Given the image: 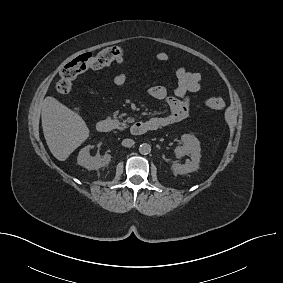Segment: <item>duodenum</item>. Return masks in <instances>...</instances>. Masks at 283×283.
Instances as JSON below:
<instances>
[{
  "instance_id": "obj_1",
  "label": "duodenum",
  "mask_w": 283,
  "mask_h": 283,
  "mask_svg": "<svg viewBox=\"0 0 283 283\" xmlns=\"http://www.w3.org/2000/svg\"><path fill=\"white\" fill-rule=\"evenodd\" d=\"M159 128V122L153 118L138 121L131 126L133 135H143ZM96 129L100 133H109L113 130V122L108 119H102L97 122Z\"/></svg>"
}]
</instances>
